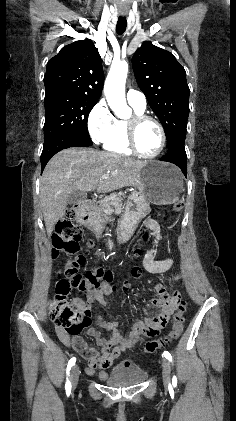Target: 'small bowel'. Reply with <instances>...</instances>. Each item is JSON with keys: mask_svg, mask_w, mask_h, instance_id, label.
Instances as JSON below:
<instances>
[{"mask_svg": "<svg viewBox=\"0 0 236 421\" xmlns=\"http://www.w3.org/2000/svg\"><path fill=\"white\" fill-rule=\"evenodd\" d=\"M145 226L153 232V234H154V236L157 240H159L161 238L160 226H159V224L156 220L147 219L145 221ZM145 266L150 271H155V270L159 269V267L156 266L154 261H153V257H152L151 252H149L146 256ZM110 291H111L110 287L105 285V286L101 287L100 289L92 291L87 296V299H86L85 303L80 301V300H77V299L74 302L77 305H86V306L89 307V309H91L94 304H99L103 307H107L109 305V302L105 299V296L107 294H109ZM156 291L159 293V295H165V288L162 285H157ZM172 305H175V300L172 301ZM142 324H144V323L138 322V323H136L135 327L140 326ZM57 333H58L59 338L65 344H71V339L67 334H65L61 330H57ZM87 333H88L89 336H92V337H95V338L98 339V341L100 343V346H101V350L100 351L93 350L92 354L87 355V356H83V357L86 358L89 361V364H90L91 368H95V367H98V368H101V369L109 368L111 366L113 360L116 357L119 356V354L121 352V349L115 348V349H113V351L111 353H109L107 350H105V348L103 346L104 342H103V340L100 339L99 333L97 331H95L94 329H89ZM100 376L103 377L104 373L103 372L100 373Z\"/></svg>", "mask_w": 236, "mask_h": 421, "instance_id": "obj_1", "label": "small bowel"}]
</instances>
